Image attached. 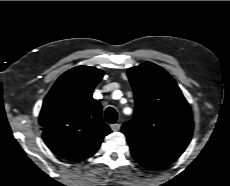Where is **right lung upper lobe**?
Listing matches in <instances>:
<instances>
[{
	"mask_svg": "<svg viewBox=\"0 0 230 186\" xmlns=\"http://www.w3.org/2000/svg\"><path fill=\"white\" fill-rule=\"evenodd\" d=\"M100 69L77 66L65 72L45 97L39 115L42 137L56 155L81 161L92 156L111 133L101 116L93 89L101 81Z\"/></svg>",
	"mask_w": 230,
	"mask_h": 186,
	"instance_id": "cb5924a9",
	"label": "right lung upper lobe"
}]
</instances>
